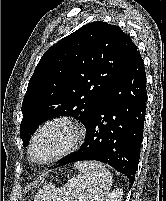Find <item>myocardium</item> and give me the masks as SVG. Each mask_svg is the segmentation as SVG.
<instances>
[{
	"mask_svg": "<svg viewBox=\"0 0 166 201\" xmlns=\"http://www.w3.org/2000/svg\"><path fill=\"white\" fill-rule=\"evenodd\" d=\"M57 124L67 126L72 131V139L70 144L65 150L55 155H52L45 160H41V161L36 160L34 158V147L39 135L49 126L57 125ZM82 138H83L82 128L74 120L65 118V117H56V118L49 119L45 121L44 123H42L33 133L30 144H29V148H28L29 159L32 163L36 165H40V166L52 164L54 162H57L67 157L68 155L72 154L75 150H77V148L79 147L82 141Z\"/></svg>",
	"mask_w": 166,
	"mask_h": 201,
	"instance_id": "1",
	"label": "myocardium"
}]
</instances>
